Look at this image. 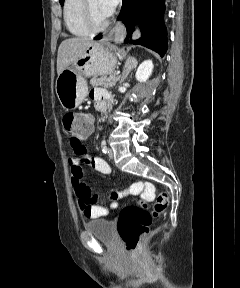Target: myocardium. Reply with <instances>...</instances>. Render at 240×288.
<instances>
[{"instance_id": "1", "label": "myocardium", "mask_w": 240, "mask_h": 288, "mask_svg": "<svg viewBox=\"0 0 240 288\" xmlns=\"http://www.w3.org/2000/svg\"><path fill=\"white\" fill-rule=\"evenodd\" d=\"M82 18H83V23L85 27L90 31V32H100L103 31L108 27L110 24V20L107 19L103 23L97 24L93 17L92 13L89 7L88 0H83L82 3Z\"/></svg>"}]
</instances>
